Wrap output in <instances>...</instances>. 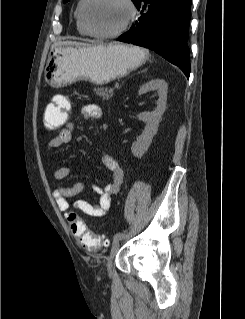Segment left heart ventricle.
<instances>
[{
  "label": "left heart ventricle",
  "instance_id": "obj_1",
  "mask_svg": "<svg viewBox=\"0 0 245 319\" xmlns=\"http://www.w3.org/2000/svg\"><path fill=\"white\" fill-rule=\"evenodd\" d=\"M129 11L122 0H92L87 8L91 28L100 33L119 29L128 19Z\"/></svg>",
  "mask_w": 245,
  "mask_h": 319
}]
</instances>
